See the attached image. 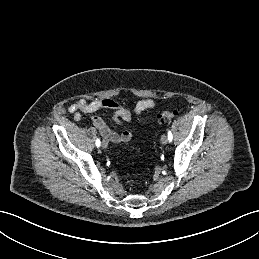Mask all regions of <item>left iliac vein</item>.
<instances>
[{"label":"left iliac vein","mask_w":259,"mask_h":259,"mask_svg":"<svg viewBox=\"0 0 259 259\" xmlns=\"http://www.w3.org/2000/svg\"><path fill=\"white\" fill-rule=\"evenodd\" d=\"M160 140H161V143L164 144V145L167 144V142H168V139H167L166 135H162Z\"/></svg>","instance_id":"obj_1"}]
</instances>
